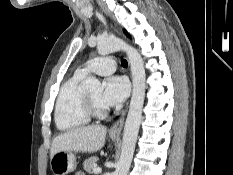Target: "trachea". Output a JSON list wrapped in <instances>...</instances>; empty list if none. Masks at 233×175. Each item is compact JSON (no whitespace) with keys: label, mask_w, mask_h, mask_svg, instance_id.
<instances>
[{"label":"trachea","mask_w":233,"mask_h":175,"mask_svg":"<svg viewBox=\"0 0 233 175\" xmlns=\"http://www.w3.org/2000/svg\"><path fill=\"white\" fill-rule=\"evenodd\" d=\"M121 64H122L123 67H127V65H128V63H127V61L125 59L121 60Z\"/></svg>","instance_id":"1"}]
</instances>
